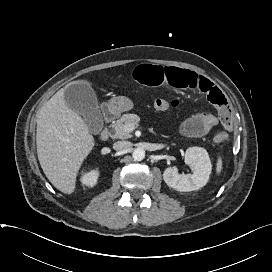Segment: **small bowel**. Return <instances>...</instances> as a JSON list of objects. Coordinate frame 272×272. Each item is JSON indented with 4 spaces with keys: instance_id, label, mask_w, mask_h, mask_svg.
<instances>
[{
    "instance_id": "c3829d8e",
    "label": "small bowel",
    "mask_w": 272,
    "mask_h": 272,
    "mask_svg": "<svg viewBox=\"0 0 272 272\" xmlns=\"http://www.w3.org/2000/svg\"><path fill=\"white\" fill-rule=\"evenodd\" d=\"M133 78L146 86L167 84L175 88L198 90L215 105L218 109V116L198 113L186 118L179 127L184 136H204L218 124H222L226 129L232 128L231 109L225 95L215 84L201 75L176 67L142 64L134 69Z\"/></svg>"
}]
</instances>
